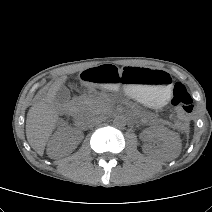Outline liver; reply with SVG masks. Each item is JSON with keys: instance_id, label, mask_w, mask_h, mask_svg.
<instances>
[{"instance_id": "liver-1", "label": "liver", "mask_w": 212, "mask_h": 212, "mask_svg": "<svg viewBox=\"0 0 212 212\" xmlns=\"http://www.w3.org/2000/svg\"><path fill=\"white\" fill-rule=\"evenodd\" d=\"M67 80L63 76L56 80L46 96L36 102L28 111L26 119V136L30 146L39 154H44L46 143L58 121V110L54 105L56 92Z\"/></svg>"}]
</instances>
